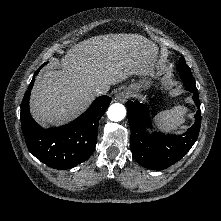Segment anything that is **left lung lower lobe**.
<instances>
[{"instance_id":"left-lung-lower-lobe-1","label":"left lung lower lobe","mask_w":221,"mask_h":221,"mask_svg":"<svg viewBox=\"0 0 221 221\" xmlns=\"http://www.w3.org/2000/svg\"><path fill=\"white\" fill-rule=\"evenodd\" d=\"M180 76L185 89L193 94V100L198 108L195 123L183 135H165L160 132L149 134L146 128L151 127V120L147 105L138 101L126 103L131 129V151L135 160L146 168L162 170L173 165L191 149L197 140L201 125L198 90L191 73L180 72Z\"/></svg>"}]
</instances>
